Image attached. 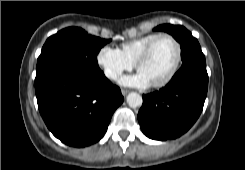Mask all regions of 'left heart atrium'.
I'll return each instance as SVG.
<instances>
[{
  "label": "left heart atrium",
  "mask_w": 245,
  "mask_h": 170,
  "mask_svg": "<svg viewBox=\"0 0 245 170\" xmlns=\"http://www.w3.org/2000/svg\"><path fill=\"white\" fill-rule=\"evenodd\" d=\"M121 83L128 86L144 87L149 84V81L142 73L138 72L134 76L122 78Z\"/></svg>",
  "instance_id": "1"
}]
</instances>
